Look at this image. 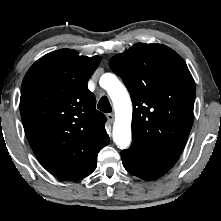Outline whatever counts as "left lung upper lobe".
Wrapping results in <instances>:
<instances>
[{
	"mask_svg": "<svg viewBox=\"0 0 221 221\" xmlns=\"http://www.w3.org/2000/svg\"><path fill=\"white\" fill-rule=\"evenodd\" d=\"M132 102V140L179 156L193 124L195 83L185 61L162 44L138 43L110 59Z\"/></svg>",
	"mask_w": 221,
	"mask_h": 221,
	"instance_id": "obj_1",
	"label": "left lung upper lobe"
}]
</instances>
